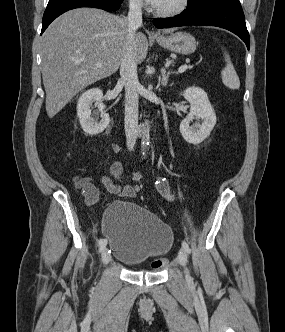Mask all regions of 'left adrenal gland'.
<instances>
[{
	"instance_id": "1",
	"label": "left adrenal gland",
	"mask_w": 285,
	"mask_h": 332,
	"mask_svg": "<svg viewBox=\"0 0 285 332\" xmlns=\"http://www.w3.org/2000/svg\"><path fill=\"white\" fill-rule=\"evenodd\" d=\"M172 74H176V73L173 72V71L167 72L165 68L162 69V71H161V75H162L161 84L163 86H166L168 84V79H169L170 75H172Z\"/></svg>"
}]
</instances>
